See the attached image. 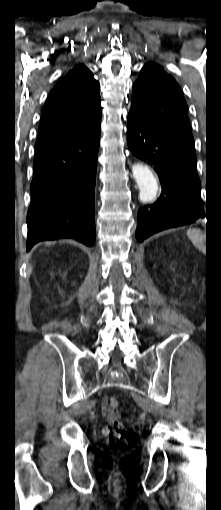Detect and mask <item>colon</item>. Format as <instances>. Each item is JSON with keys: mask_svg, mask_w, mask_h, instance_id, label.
<instances>
[{"mask_svg": "<svg viewBox=\"0 0 221 510\" xmlns=\"http://www.w3.org/2000/svg\"><path fill=\"white\" fill-rule=\"evenodd\" d=\"M119 401L112 398L109 402L108 425L104 428L107 438V447L112 452H118L128 448L131 442L130 434L126 427L119 421L117 408Z\"/></svg>", "mask_w": 221, "mask_h": 510, "instance_id": "5ec220e1", "label": "colon"}]
</instances>
